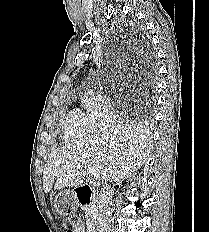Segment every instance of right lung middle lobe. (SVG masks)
<instances>
[{
    "mask_svg": "<svg viewBox=\"0 0 209 232\" xmlns=\"http://www.w3.org/2000/svg\"><path fill=\"white\" fill-rule=\"evenodd\" d=\"M152 72H155V70H154V71H152ZM149 116H150V115H148V118H149Z\"/></svg>",
    "mask_w": 209,
    "mask_h": 232,
    "instance_id": "1",
    "label": "right lung middle lobe"
}]
</instances>
